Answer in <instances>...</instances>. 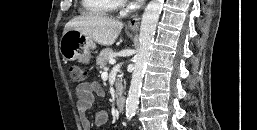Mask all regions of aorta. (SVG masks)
Returning <instances> with one entry per match:
<instances>
[{
    "instance_id": "aorta-1",
    "label": "aorta",
    "mask_w": 257,
    "mask_h": 130,
    "mask_svg": "<svg viewBox=\"0 0 257 130\" xmlns=\"http://www.w3.org/2000/svg\"><path fill=\"white\" fill-rule=\"evenodd\" d=\"M164 0H151L147 5L141 21L139 34V51L134 58V69L126 100V118L131 120L137 110L143 77L150 56V51Z\"/></svg>"
}]
</instances>
